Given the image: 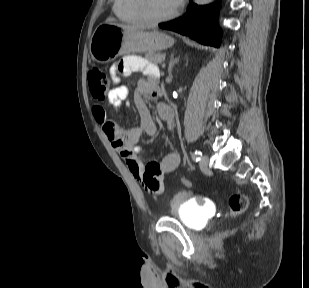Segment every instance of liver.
I'll return each instance as SVG.
<instances>
[{
	"label": "liver",
	"mask_w": 309,
	"mask_h": 288,
	"mask_svg": "<svg viewBox=\"0 0 309 288\" xmlns=\"http://www.w3.org/2000/svg\"><path fill=\"white\" fill-rule=\"evenodd\" d=\"M120 26H122L124 28H130V29H140V28H142V26H127V25H120Z\"/></svg>",
	"instance_id": "6515ba94"
}]
</instances>
